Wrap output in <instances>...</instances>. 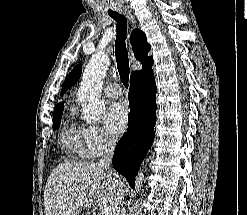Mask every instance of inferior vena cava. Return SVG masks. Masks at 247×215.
I'll use <instances>...</instances> for the list:
<instances>
[{
  "label": "inferior vena cava",
  "mask_w": 247,
  "mask_h": 215,
  "mask_svg": "<svg viewBox=\"0 0 247 215\" xmlns=\"http://www.w3.org/2000/svg\"><path fill=\"white\" fill-rule=\"evenodd\" d=\"M115 146H116V141L113 139H109L105 143V146H104L105 155L100 159L98 166L104 167L105 169H107L110 175L112 176L111 180L115 188L114 198L112 201L114 215H126V210L122 204L124 191L121 188V185L119 184L118 180L116 179L115 174L110 171V164L113 158Z\"/></svg>",
  "instance_id": "inferior-vena-cava-1"
}]
</instances>
